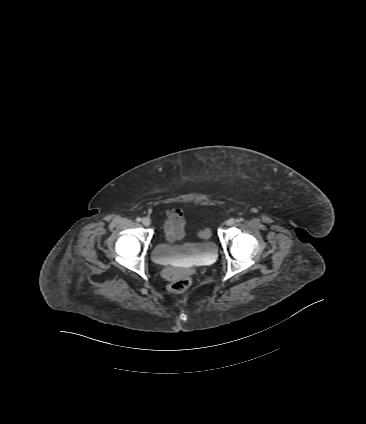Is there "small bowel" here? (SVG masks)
<instances>
[{
  "label": "small bowel",
  "instance_id": "c3829d8e",
  "mask_svg": "<svg viewBox=\"0 0 366 424\" xmlns=\"http://www.w3.org/2000/svg\"><path fill=\"white\" fill-rule=\"evenodd\" d=\"M164 231L166 238L171 242L183 239L184 227L180 210H168L165 212Z\"/></svg>",
  "mask_w": 366,
  "mask_h": 424
}]
</instances>
